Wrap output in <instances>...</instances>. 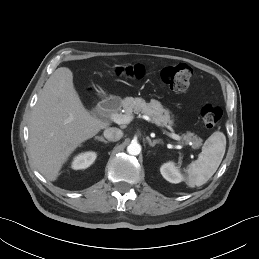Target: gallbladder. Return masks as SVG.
Here are the masks:
<instances>
[{
	"label": "gallbladder",
	"mask_w": 259,
	"mask_h": 259,
	"mask_svg": "<svg viewBox=\"0 0 259 259\" xmlns=\"http://www.w3.org/2000/svg\"><path fill=\"white\" fill-rule=\"evenodd\" d=\"M91 113H94V108H93V109H91Z\"/></svg>",
	"instance_id": "bac80fb5"
}]
</instances>
